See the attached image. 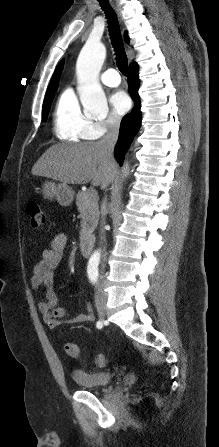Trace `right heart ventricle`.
<instances>
[{
  "mask_svg": "<svg viewBox=\"0 0 219 447\" xmlns=\"http://www.w3.org/2000/svg\"><path fill=\"white\" fill-rule=\"evenodd\" d=\"M53 127L56 137L65 142L76 143L98 137L95 123L81 111L77 97L71 89L63 91L57 100Z\"/></svg>",
  "mask_w": 219,
  "mask_h": 447,
  "instance_id": "e07e8e85",
  "label": "right heart ventricle"
}]
</instances>
